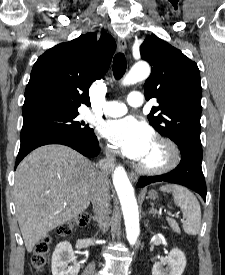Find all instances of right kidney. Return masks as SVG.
Segmentation results:
<instances>
[{
  "label": "right kidney",
  "instance_id": "1",
  "mask_svg": "<svg viewBox=\"0 0 225 275\" xmlns=\"http://www.w3.org/2000/svg\"><path fill=\"white\" fill-rule=\"evenodd\" d=\"M52 275H77L80 263L77 262L71 244L68 241L59 243L52 255Z\"/></svg>",
  "mask_w": 225,
  "mask_h": 275
}]
</instances>
